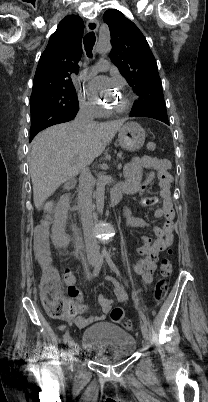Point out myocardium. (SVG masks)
Here are the masks:
<instances>
[{
  "mask_svg": "<svg viewBox=\"0 0 208 402\" xmlns=\"http://www.w3.org/2000/svg\"><path fill=\"white\" fill-rule=\"evenodd\" d=\"M123 94L126 97L125 102L120 106L112 104V106L109 107L112 111L117 113H126L132 109L134 104V96L127 90H125Z\"/></svg>",
  "mask_w": 208,
  "mask_h": 402,
  "instance_id": "f54148a6",
  "label": "myocardium"
}]
</instances>
